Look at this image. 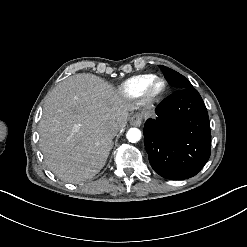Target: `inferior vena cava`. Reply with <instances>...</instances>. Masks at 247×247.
I'll return each mask as SVG.
<instances>
[{
    "instance_id": "1",
    "label": "inferior vena cava",
    "mask_w": 247,
    "mask_h": 247,
    "mask_svg": "<svg viewBox=\"0 0 247 247\" xmlns=\"http://www.w3.org/2000/svg\"><path fill=\"white\" fill-rule=\"evenodd\" d=\"M119 131H120V128L118 126H113L109 128V135L111 137H114L116 134H118Z\"/></svg>"
}]
</instances>
